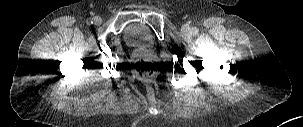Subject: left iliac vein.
Segmentation results:
<instances>
[{
	"mask_svg": "<svg viewBox=\"0 0 303 127\" xmlns=\"http://www.w3.org/2000/svg\"><path fill=\"white\" fill-rule=\"evenodd\" d=\"M182 31H183L185 34H190V33H192V30H191V28H190L189 25H184V26H182Z\"/></svg>",
	"mask_w": 303,
	"mask_h": 127,
	"instance_id": "left-iliac-vein-1",
	"label": "left iliac vein"
}]
</instances>
